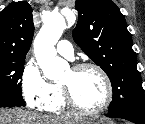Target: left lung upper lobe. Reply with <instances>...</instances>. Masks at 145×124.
I'll return each mask as SVG.
<instances>
[{
	"label": "left lung upper lobe",
	"mask_w": 145,
	"mask_h": 124,
	"mask_svg": "<svg viewBox=\"0 0 145 124\" xmlns=\"http://www.w3.org/2000/svg\"><path fill=\"white\" fill-rule=\"evenodd\" d=\"M79 17L73 38L108 75L113 88L109 113L135 111L145 115V95L136 53L124 16L111 0H76Z\"/></svg>",
	"instance_id": "obj_1"
}]
</instances>
